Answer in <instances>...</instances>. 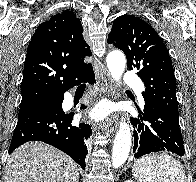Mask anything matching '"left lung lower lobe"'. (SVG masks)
Masks as SVG:
<instances>
[{"mask_svg": "<svg viewBox=\"0 0 196 182\" xmlns=\"http://www.w3.org/2000/svg\"><path fill=\"white\" fill-rule=\"evenodd\" d=\"M145 109L138 118H131L134 131L135 158L158 151H169L179 156L185 153L178 116L151 97H144Z\"/></svg>", "mask_w": 196, "mask_h": 182, "instance_id": "0a47b994", "label": "left lung lower lobe"}]
</instances>
